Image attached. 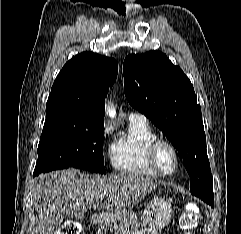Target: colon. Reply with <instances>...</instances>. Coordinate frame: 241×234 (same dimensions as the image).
I'll return each mask as SVG.
<instances>
[{
    "label": "colon",
    "instance_id": "obj_1",
    "mask_svg": "<svg viewBox=\"0 0 241 234\" xmlns=\"http://www.w3.org/2000/svg\"><path fill=\"white\" fill-rule=\"evenodd\" d=\"M199 217L198 209L191 206L184 210L180 218V227L184 234H194L193 230L197 224ZM79 225L74 221H67L62 226L60 234H79Z\"/></svg>",
    "mask_w": 241,
    "mask_h": 234
}]
</instances>
